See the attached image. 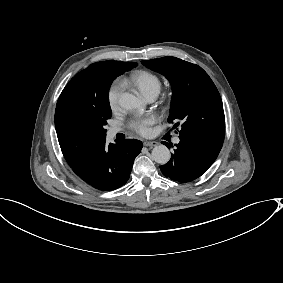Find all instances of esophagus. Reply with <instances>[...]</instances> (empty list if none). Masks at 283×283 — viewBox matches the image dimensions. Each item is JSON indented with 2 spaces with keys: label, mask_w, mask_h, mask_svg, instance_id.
Instances as JSON below:
<instances>
[{
  "label": "esophagus",
  "mask_w": 283,
  "mask_h": 283,
  "mask_svg": "<svg viewBox=\"0 0 283 283\" xmlns=\"http://www.w3.org/2000/svg\"><path fill=\"white\" fill-rule=\"evenodd\" d=\"M159 143L156 141H146L144 142V146H148V147H153V146H157Z\"/></svg>",
  "instance_id": "1"
}]
</instances>
